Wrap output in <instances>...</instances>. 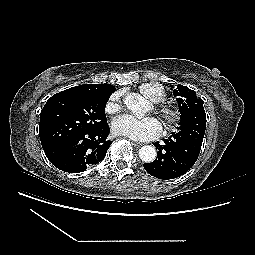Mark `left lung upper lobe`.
<instances>
[{
    "instance_id": "left-lung-upper-lobe-1",
    "label": "left lung upper lobe",
    "mask_w": 255,
    "mask_h": 255,
    "mask_svg": "<svg viewBox=\"0 0 255 255\" xmlns=\"http://www.w3.org/2000/svg\"><path fill=\"white\" fill-rule=\"evenodd\" d=\"M173 94L177 97L176 100L181 113L180 127L198 124L201 120L206 121V114L203 108L204 101L197 97L194 90L178 84Z\"/></svg>"
}]
</instances>
